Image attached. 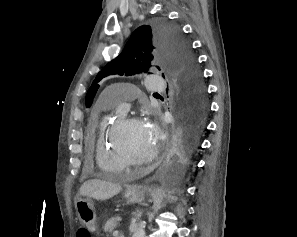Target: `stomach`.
I'll use <instances>...</instances> for the list:
<instances>
[{"instance_id": "obj_1", "label": "stomach", "mask_w": 297, "mask_h": 237, "mask_svg": "<svg viewBox=\"0 0 297 237\" xmlns=\"http://www.w3.org/2000/svg\"><path fill=\"white\" fill-rule=\"evenodd\" d=\"M146 189L140 186H129L125 192V198L129 203H142L146 197ZM75 208L79 221L86 226L90 232L97 230L96 212L93 202L90 198H79L76 201Z\"/></svg>"}]
</instances>
